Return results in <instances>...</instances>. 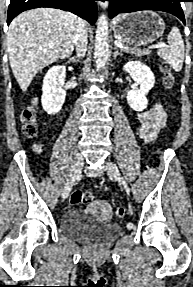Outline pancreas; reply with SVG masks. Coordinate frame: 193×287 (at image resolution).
Here are the masks:
<instances>
[{"mask_svg":"<svg viewBox=\"0 0 193 287\" xmlns=\"http://www.w3.org/2000/svg\"><path fill=\"white\" fill-rule=\"evenodd\" d=\"M118 41L123 44V47L121 48V51H123V52L131 53V54H133L135 56H138V57H142V56L147 55V54L150 53L149 49L141 50V49L136 48V47L132 48L124 40L121 39V40H118Z\"/></svg>","mask_w":193,"mask_h":287,"instance_id":"pancreas-1","label":"pancreas"}]
</instances>
